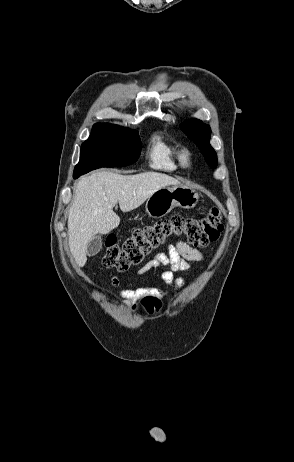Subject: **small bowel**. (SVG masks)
<instances>
[{"label": "small bowel", "mask_w": 294, "mask_h": 462, "mask_svg": "<svg viewBox=\"0 0 294 462\" xmlns=\"http://www.w3.org/2000/svg\"><path fill=\"white\" fill-rule=\"evenodd\" d=\"M203 258L204 256L199 250L191 248L187 244L179 241L176 244L169 246L167 252L157 253L137 271V274L142 275L151 270H160L161 278L164 283L171 286L175 291L181 288L185 282L183 277H176L175 272L187 271L190 268L191 262H200ZM111 284L114 287H118V278L113 277ZM165 293L166 291L164 289L159 288L120 290V295L127 300L137 299L144 294L159 296Z\"/></svg>", "instance_id": "small-bowel-1"}]
</instances>
